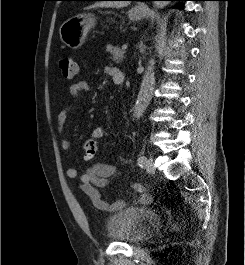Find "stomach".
<instances>
[{
	"label": "stomach",
	"mask_w": 245,
	"mask_h": 265,
	"mask_svg": "<svg viewBox=\"0 0 245 265\" xmlns=\"http://www.w3.org/2000/svg\"><path fill=\"white\" fill-rule=\"evenodd\" d=\"M143 15L144 11L136 8H133L128 12V16L132 21L140 20ZM95 24L96 18L93 14H78L67 19L60 26V39L69 48L78 49L85 43L89 31L95 26Z\"/></svg>",
	"instance_id": "0dacf381"
}]
</instances>
